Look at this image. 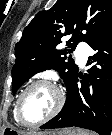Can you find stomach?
I'll return each mask as SVG.
<instances>
[{
	"mask_svg": "<svg viewBox=\"0 0 112 135\" xmlns=\"http://www.w3.org/2000/svg\"><path fill=\"white\" fill-rule=\"evenodd\" d=\"M0 135H22V133L13 128L6 127L0 132ZM26 135H78V132L74 130H63L58 132H33Z\"/></svg>",
	"mask_w": 112,
	"mask_h": 135,
	"instance_id": "obj_1",
	"label": "stomach"
}]
</instances>
